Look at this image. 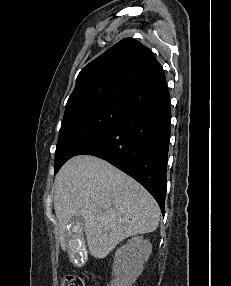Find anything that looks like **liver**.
<instances>
[{"label":"liver","mask_w":231,"mask_h":286,"mask_svg":"<svg viewBox=\"0 0 231 286\" xmlns=\"http://www.w3.org/2000/svg\"><path fill=\"white\" fill-rule=\"evenodd\" d=\"M54 210L62 250L68 248L67 227L82 217L90 254L106 257L121 241L157 229L160 209L136 180L105 160L79 155L68 160L55 182Z\"/></svg>","instance_id":"6515ba94"}]
</instances>
